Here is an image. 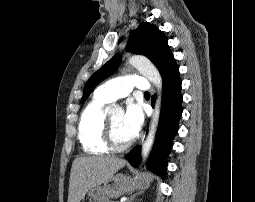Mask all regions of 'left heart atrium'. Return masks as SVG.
Instances as JSON below:
<instances>
[{"label":"left heart atrium","instance_id":"obj_1","mask_svg":"<svg viewBox=\"0 0 255 202\" xmlns=\"http://www.w3.org/2000/svg\"><path fill=\"white\" fill-rule=\"evenodd\" d=\"M144 121L143 111L139 104L131 102L124 113V124L130 134L135 137Z\"/></svg>","mask_w":255,"mask_h":202}]
</instances>
